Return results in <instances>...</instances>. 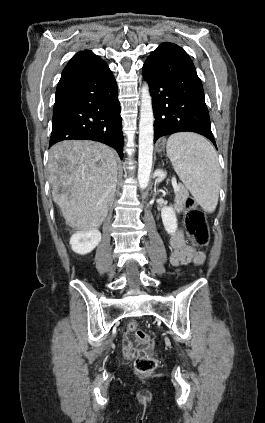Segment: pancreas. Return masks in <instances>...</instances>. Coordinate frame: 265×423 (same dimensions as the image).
I'll return each mask as SVG.
<instances>
[{
  "mask_svg": "<svg viewBox=\"0 0 265 423\" xmlns=\"http://www.w3.org/2000/svg\"><path fill=\"white\" fill-rule=\"evenodd\" d=\"M175 195L177 209L181 210L188 196V192L183 186L180 185L179 189L175 192Z\"/></svg>",
  "mask_w": 265,
  "mask_h": 423,
  "instance_id": "1",
  "label": "pancreas"
}]
</instances>
